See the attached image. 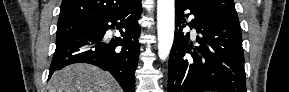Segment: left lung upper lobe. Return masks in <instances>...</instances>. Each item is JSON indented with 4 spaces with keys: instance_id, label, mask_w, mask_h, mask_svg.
I'll return each mask as SVG.
<instances>
[{
    "instance_id": "1",
    "label": "left lung upper lobe",
    "mask_w": 289,
    "mask_h": 92,
    "mask_svg": "<svg viewBox=\"0 0 289 92\" xmlns=\"http://www.w3.org/2000/svg\"><path fill=\"white\" fill-rule=\"evenodd\" d=\"M224 16L239 21L233 0H194Z\"/></svg>"
}]
</instances>
